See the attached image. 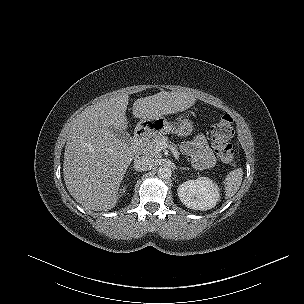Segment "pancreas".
<instances>
[{"instance_id": "cf45deb5", "label": "pancreas", "mask_w": 304, "mask_h": 304, "mask_svg": "<svg viewBox=\"0 0 304 304\" xmlns=\"http://www.w3.org/2000/svg\"><path fill=\"white\" fill-rule=\"evenodd\" d=\"M167 137L163 136V135H155L151 140H149L146 145H145V150L149 153H154V148L156 146V144L160 141H163V142H167ZM170 147H173L174 150L178 151V147L177 145H174L173 143H171V145H169Z\"/></svg>"}]
</instances>
